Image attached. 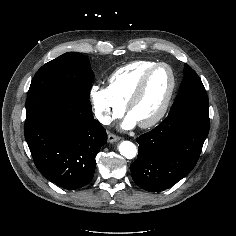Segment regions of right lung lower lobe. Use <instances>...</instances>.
<instances>
[{"label":"right lung lower lobe","instance_id":"98d812e1","mask_svg":"<svg viewBox=\"0 0 236 236\" xmlns=\"http://www.w3.org/2000/svg\"><path fill=\"white\" fill-rule=\"evenodd\" d=\"M24 134L40 173L68 190L91 181L95 157L107 141L89 99L55 93L27 97Z\"/></svg>","mask_w":236,"mask_h":236}]
</instances>
